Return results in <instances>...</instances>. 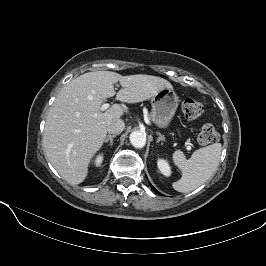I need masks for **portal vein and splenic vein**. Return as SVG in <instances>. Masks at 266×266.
I'll use <instances>...</instances> for the list:
<instances>
[{
  "instance_id": "1",
  "label": "portal vein and splenic vein",
  "mask_w": 266,
  "mask_h": 266,
  "mask_svg": "<svg viewBox=\"0 0 266 266\" xmlns=\"http://www.w3.org/2000/svg\"><path fill=\"white\" fill-rule=\"evenodd\" d=\"M109 106L110 105L108 103H104L103 105H101L100 109H101V111H104V110L108 109ZM187 149L190 150L191 147L190 146H187Z\"/></svg>"
}]
</instances>
